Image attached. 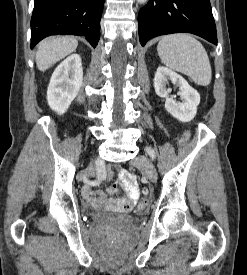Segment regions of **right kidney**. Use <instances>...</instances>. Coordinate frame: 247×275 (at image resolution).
<instances>
[{
	"mask_svg": "<svg viewBox=\"0 0 247 275\" xmlns=\"http://www.w3.org/2000/svg\"><path fill=\"white\" fill-rule=\"evenodd\" d=\"M83 82L81 58L72 54L62 61L52 74L48 89L49 107L59 115L64 114L78 95Z\"/></svg>",
	"mask_w": 247,
	"mask_h": 275,
	"instance_id": "ca27d5eb",
	"label": "right kidney"
}]
</instances>
